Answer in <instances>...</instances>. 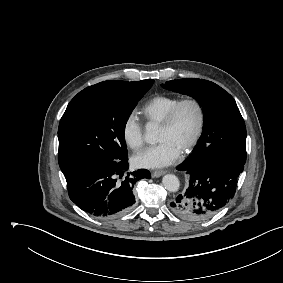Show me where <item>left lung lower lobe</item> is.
Returning a JSON list of instances; mask_svg holds the SVG:
<instances>
[{
    "instance_id": "left-lung-lower-lobe-1",
    "label": "left lung lower lobe",
    "mask_w": 283,
    "mask_h": 283,
    "mask_svg": "<svg viewBox=\"0 0 283 283\" xmlns=\"http://www.w3.org/2000/svg\"><path fill=\"white\" fill-rule=\"evenodd\" d=\"M177 169L187 173L188 187L170 203L172 211L185 220L204 221L234 196L244 165L229 160H214L194 167L182 163Z\"/></svg>"
}]
</instances>
